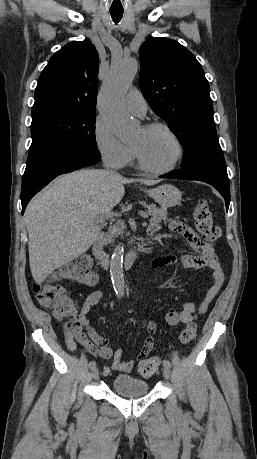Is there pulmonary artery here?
<instances>
[{
	"label": "pulmonary artery",
	"instance_id": "e3ab8cb5",
	"mask_svg": "<svg viewBox=\"0 0 257 459\" xmlns=\"http://www.w3.org/2000/svg\"><path fill=\"white\" fill-rule=\"evenodd\" d=\"M126 110L136 116H144L147 111V103L138 89H132L125 97Z\"/></svg>",
	"mask_w": 257,
	"mask_h": 459
}]
</instances>
